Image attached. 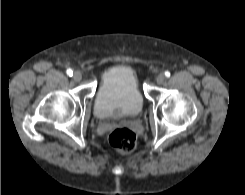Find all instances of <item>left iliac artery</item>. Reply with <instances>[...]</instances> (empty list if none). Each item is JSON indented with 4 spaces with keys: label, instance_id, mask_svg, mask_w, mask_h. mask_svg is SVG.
Segmentation results:
<instances>
[{
    "label": "left iliac artery",
    "instance_id": "obj_1",
    "mask_svg": "<svg viewBox=\"0 0 245 195\" xmlns=\"http://www.w3.org/2000/svg\"><path fill=\"white\" fill-rule=\"evenodd\" d=\"M165 76H166V77H170V72H169V71H166V72H165Z\"/></svg>",
    "mask_w": 245,
    "mask_h": 195
}]
</instances>
